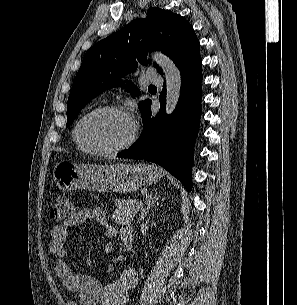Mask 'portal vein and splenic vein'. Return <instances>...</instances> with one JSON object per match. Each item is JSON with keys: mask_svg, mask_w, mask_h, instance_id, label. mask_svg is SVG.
Returning <instances> with one entry per match:
<instances>
[{"mask_svg": "<svg viewBox=\"0 0 297 305\" xmlns=\"http://www.w3.org/2000/svg\"><path fill=\"white\" fill-rule=\"evenodd\" d=\"M135 206H136V209L139 210L142 207V203L141 202H136Z\"/></svg>", "mask_w": 297, "mask_h": 305, "instance_id": "1", "label": "portal vein and splenic vein"}]
</instances>
